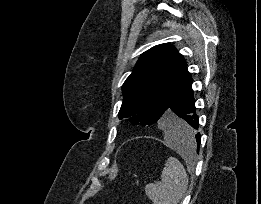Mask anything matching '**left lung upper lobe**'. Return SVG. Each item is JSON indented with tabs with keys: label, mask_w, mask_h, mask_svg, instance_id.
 <instances>
[{
	"label": "left lung upper lobe",
	"mask_w": 261,
	"mask_h": 204,
	"mask_svg": "<svg viewBox=\"0 0 261 204\" xmlns=\"http://www.w3.org/2000/svg\"><path fill=\"white\" fill-rule=\"evenodd\" d=\"M188 75L185 59L169 43L144 52L122 86L119 118L141 125L163 121Z\"/></svg>",
	"instance_id": "5c2ea615"
}]
</instances>
